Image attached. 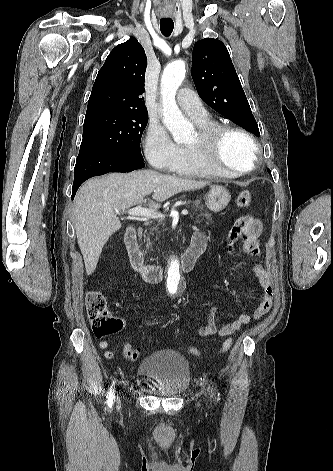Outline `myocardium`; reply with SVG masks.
<instances>
[{
	"mask_svg": "<svg viewBox=\"0 0 333 471\" xmlns=\"http://www.w3.org/2000/svg\"><path fill=\"white\" fill-rule=\"evenodd\" d=\"M230 133L244 137L252 147V161L250 166L237 169L224 165L219 159V150L223 138ZM189 148L206 164L214 168L220 174L239 176L251 172L256 168L260 160V150L256 139L245 129L229 124H213L200 128L197 139Z\"/></svg>",
	"mask_w": 333,
	"mask_h": 471,
	"instance_id": "myocardium-1",
	"label": "myocardium"
}]
</instances>
